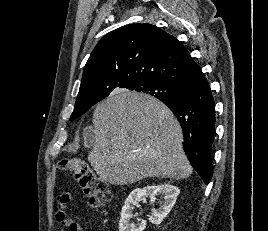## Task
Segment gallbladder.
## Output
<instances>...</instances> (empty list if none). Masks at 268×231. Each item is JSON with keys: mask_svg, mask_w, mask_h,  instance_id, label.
Here are the masks:
<instances>
[{"mask_svg": "<svg viewBox=\"0 0 268 231\" xmlns=\"http://www.w3.org/2000/svg\"><path fill=\"white\" fill-rule=\"evenodd\" d=\"M88 146L90 147V146H92V144H91V143H89V144H88Z\"/></svg>", "mask_w": 268, "mask_h": 231, "instance_id": "bac80fb5", "label": "gallbladder"}]
</instances>
